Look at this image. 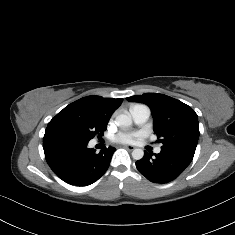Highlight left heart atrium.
I'll return each mask as SVG.
<instances>
[{"instance_id":"1","label":"left heart atrium","mask_w":235,"mask_h":235,"mask_svg":"<svg viewBox=\"0 0 235 235\" xmlns=\"http://www.w3.org/2000/svg\"><path fill=\"white\" fill-rule=\"evenodd\" d=\"M133 137H135V135L130 133H119L113 137V140L115 142L125 143L130 141Z\"/></svg>"}]
</instances>
